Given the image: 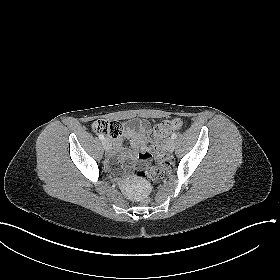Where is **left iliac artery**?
Instances as JSON below:
<instances>
[{"label": "left iliac artery", "mask_w": 280, "mask_h": 280, "mask_svg": "<svg viewBox=\"0 0 280 280\" xmlns=\"http://www.w3.org/2000/svg\"><path fill=\"white\" fill-rule=\"evenodd\" d=\"M176 137H177L176 133H173L172 136H171L172 139H176Z\"/></svg>", "instance_id": "left-iliac-artery-1"}]
</instances>
